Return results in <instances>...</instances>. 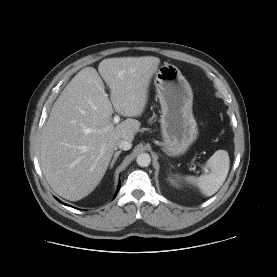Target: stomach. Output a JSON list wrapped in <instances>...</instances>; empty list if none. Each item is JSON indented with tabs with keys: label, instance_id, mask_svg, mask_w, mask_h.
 <instances>
[{
	"label": "stomach",
	"instance_id": "0dacf381",
	"mask_svg": "<svg viewBox=\"0 0 277 277\" xmlns=\"http://www.w3.org/2000/svg\"><path fill=\"white\" fill-rule=\"evenodd\" d=\"M154 85L162 111L163 149L171 156L183 154L198 135L190 84L175 65L164 63L155 72Z\"/></svg>",
	"mask_w": 277,
	"mask_h": 277
}]
</instances>
